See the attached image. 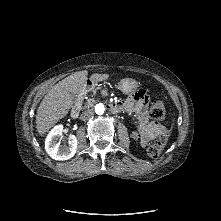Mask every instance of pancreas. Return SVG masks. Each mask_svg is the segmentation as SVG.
I'll return each mask as SVG.
<instances>
[{
  "label": "pancreas",
  "mask_w": 221,
  "mask_h": 221,
  "mask_svg": "<svg viewBox=\"0 0 221 221\" xmlns=\"http://www.w3.org/2000/svg\"><path fill=\"white\" fill-rule=\"evenodd\" d=\"M97 101V98L95 96H92L86 103H85V108H90V106H93V103Z\"/></svg>",
  "instance_id": "cf45deb5"
}]
</instances>
